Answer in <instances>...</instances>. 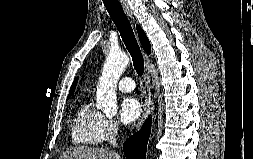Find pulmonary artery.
<instances>
[{"instance_id":"obj_1","label":"pulmonary artery","mask_w":253,"mask_h":159,"mask_svg":"<svg viewBox=\"0 0 253 159\" xmlns=\"http://www.w3.org/2000/svg\"><path fill=\"white\" fill-rule=\"evenodd\" d=\"M118 88L122 92H131L135 88V82L130 77H123L118 82Z\"/></svg>"}]
</instances>
